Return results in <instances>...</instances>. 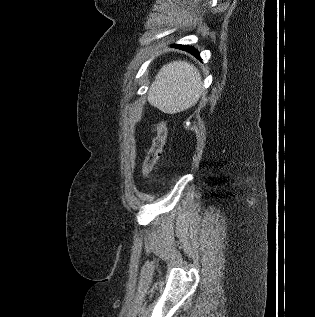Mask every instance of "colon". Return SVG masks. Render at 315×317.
Segmentation results:
<instances>
[{"label":"colon","mask_w":315,"mask_h":317,"mask_svg":"<svg viewBox=\"0 0 315 317\" xmlns=\"http://www.w3.org/2000/svg\"><path fill=\"white\" fill-rule=\"evenodd\" d=\"M167 134H168L167 122L165 120H161L158 125L157 134L153 139L152 146L149 149L145 157V160L143 162L141 175L144 179H148L151 173L155 170L157 161L163 151Z\"/></svg>","instance_id":"obj_1"}]
</instances>
